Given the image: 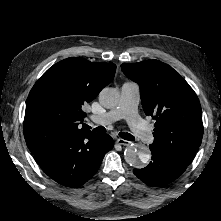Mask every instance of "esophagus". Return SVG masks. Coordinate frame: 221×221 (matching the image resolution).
I'll list each match as a JSON object with an SVG mask.
<instances>
[{
	"mask_svg": "<svg viewBox=\"0 0 221 221\" xmlns=\"http://www.w3.org/2000/svg\"><path fill=\"white\" fill-rule=\"evenodd\" d=\"M116 142L120 145H123V146H127L130 143L129 141L121 139V138L117 139Z\"/></svg>",
	"mask_w": 221,
	"mask_h": 221,
	"instance_id": "esophagus-1",
	"label": "esophagus"
}]
</instances>
